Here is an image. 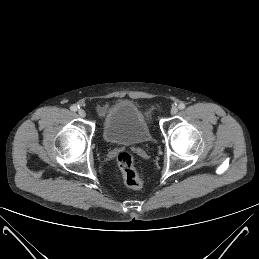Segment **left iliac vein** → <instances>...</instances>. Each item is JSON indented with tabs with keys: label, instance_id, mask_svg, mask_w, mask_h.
Listing matches in <instances>:
<instances>
[{
	"label": "left iliac vein",
	"instance_id": "left-iliac-vein-1",
	"mask_svg": "<svg viewBox=\"0 0 259 259\" xmlns=\"http://www.w3.org/2000/svg\"><path fill=\"white\" fill-rule=\"evenodd\" d=\"M170 112H171V115H176L178 113V108L177 107H172Z\"/></svg>",
	"mask_w": 259,
	"mask_h": 259
}]
</instances>
